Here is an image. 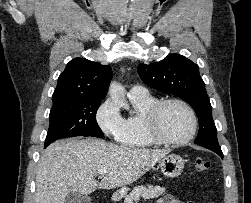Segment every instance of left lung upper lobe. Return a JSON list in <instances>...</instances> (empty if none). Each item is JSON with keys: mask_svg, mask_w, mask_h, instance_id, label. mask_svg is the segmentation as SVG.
I'll use <instances>...</instances> for the list:
<instances>
[{"mask_svg": "<svg viewBox=\"0 0 251 203\" xmlns=\"http://www.w3.org/2000/svg\"><path fill=\"white\" fill-rule=\"evenodd\" d=\"M138 73L149 87L178 96L191 105L199 119L195 144L208 149H220L212 106L198 65L182 55L172 54L160 62L139 64Z\"/></svg>", "mask_w": 251, "mask_h": 203, "instance_id": "1", "label": "left lung upper lobe"}]
</instances>
